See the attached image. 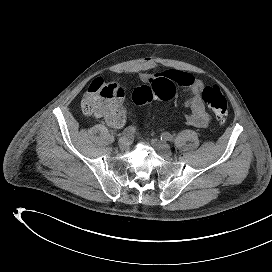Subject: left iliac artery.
I'll return each mask as SVG.
<instances>
[{
  "mask_svg": "<svg viewBox=\"0 0 272 272\" xmlns=\"http://www.w3.org/2000/svg\"><path fill=\"white\" fill-rule=\"evenodd\" d=\"M161 140H166V141L172 142L174 140V138L169 132H163L161 135Z\"/></svg>",
  "mask_w": 272,
  "mask_h": 272,
  "instance_id": "obj_1",
  "label": "left iliac artery"
}]
</instances>
